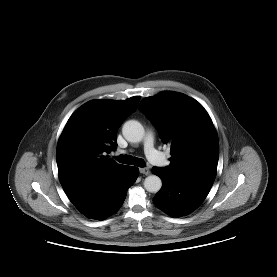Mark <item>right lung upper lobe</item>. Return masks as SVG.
I'll return each instance as SVG.
<instances>
[{
	"instance_id": "obj_1",
	"label": "right lung upper lobe",
	"mask_w": 277,
	"mask_h": 277,
	"mask_svg": "<svg viewBox=\"0 0 277 277\" xmlns=\"http://www.w3.org/2000/svg\"><path fill=\"white\" fill-rule=\"evenodd\" d=\"M139 96L124 101L93 100L78 108L59 138L56 160L68 198L78 197L124 165L108 159L124 119L137 107Z\"/></svg>"
}]
</instances>
